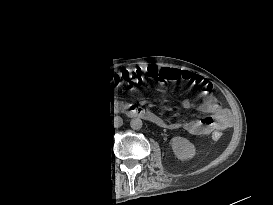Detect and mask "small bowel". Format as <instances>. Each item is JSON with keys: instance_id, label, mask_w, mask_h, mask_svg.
<instances>
[{"instance_id": "1", "label": "small bowel", "mask_w": 273, "mask_h": 205, "mask_svg": "<svg viewBox=\"0 0 273 205\" xmlns=\"http://www.w3.org/2000/svg\"><path fill=\"white\" fill-rule=\"evenodd\" d=\"M162 75L167 76L169 80H181L200 86L201 102L198 104V109L201 112L208 114V116L201 119L169 123L168 125L170 127H183L192 135L203 136L210 133H218L230 125L232 118L231 112L215 98L213 94V86L208 80L190 71L176 68L157 70L156 76L162 79ZM185 106L187 108H192L195 104L192 101H187Z\"/></svg>"}]
</instances>
